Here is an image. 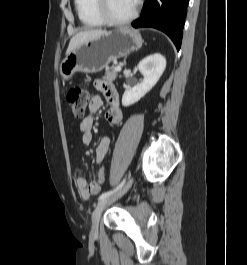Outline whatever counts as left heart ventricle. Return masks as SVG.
<instances>
[{
    "label": "left heart ventricle",
    "instance_id": "left-heart-ventricle-1",
    "mask_svg": "<svg viewBox=\"0 0 247 265\" xmlns=\"http://www.w3.org/2000/svg\"><path fill=\"white\" fill-rule=\"evenodd\" d=\"M109 11L111 15L118 19L128 17L134 7L136 0H108Z\"/></svg>",
    "mask_w": 247,
    "mask_h": 265
}]
</instances>
